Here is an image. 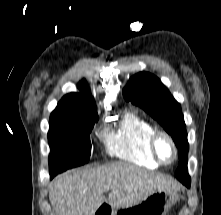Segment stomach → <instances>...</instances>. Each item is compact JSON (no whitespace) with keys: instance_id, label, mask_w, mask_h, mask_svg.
Wrapping results in <instances>:
<instances>
[{"instance_id":"0dacf381","label":"stomach","mask_w":221,"mask_h":215,"mask_svg":"<svg viewBox=\"0 0 221 215\" xmlns=\"http://www.w3.org/2000/svg\"><path fill=\"white\" fill-rule=\"evenodd\" d=\"M179 200L177 190H157L137 204L126 208H118L112 215H166Z\"/></svg>"}]
</instances>
